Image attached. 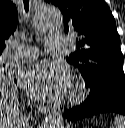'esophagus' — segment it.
<instances>
[{
    "label": "esophagus",
    "instance_id": "1",
    "mask_svg": "<svg viewBox=\"0 0 125 128\" xmlns=\"http://www.w3.org/2000/svg\"><path fill=\"white\" fill-rule=\"evenodd\" d=\"M37 109L40 113L46 115L49 113V108L44 105H37Z\"/></svg>",
    "mask_w": 125,
    "mask_h": 128
}]
</instances>
